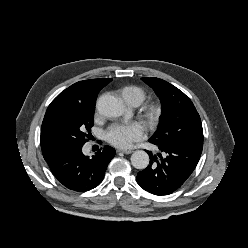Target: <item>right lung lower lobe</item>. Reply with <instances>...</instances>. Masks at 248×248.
<instances>
[{
	"label": "right lung lower lobe",
	"mask_w": 248,
	"mask_h": 248,
	"mask_svg": "<svg viewBox=\"0 0 248 248\" xmlns=\"http://www.w3.org/2000/svg\"><path fill=\"white\" fill-rule=\"evenodd\" d=\"M84 144H76L61 149L52 158L47 160L53 175L70 190L84 192L98 186L106 168L116 151L104 146L92 157L82 153Z\"/></svg>",
	"instance_id": "1"
}]
</instances>
